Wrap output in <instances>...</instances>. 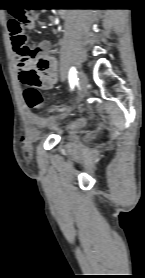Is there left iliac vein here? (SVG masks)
<instances>
[{"mask_svg":"<svg viewBox=\"0 0 145 278\" xmlns=\"http://www.w3.org/2000/svg\"><path fill=\"white\" fill-rule=\"evenodd\" d=\"M78 77H79V85H80V89H81V92L79 93L78 100H81L84 97V94L86 93V90H87L88 77H87V75L83 71H80ZM65 116H66V114H62V115H60L58 117H54V118L50 119L49 122L51 124H54L58 120L64 118Z\"/></svg>","mask_w":145,"mask_h":278,"instance_id":"1","label":"left iliac vein"}]
</instances>
